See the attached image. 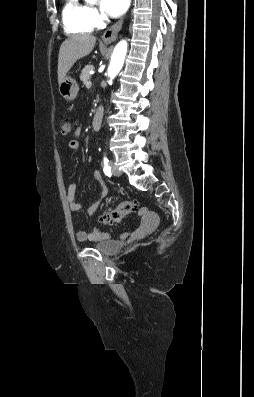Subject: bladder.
<instances>
[{"mask_svg":"<svg viewBox=\"0 0 254 397\" xmlns=\"http://www.w3.org/2000/svg\"><path fill=\"white\" fill-rule=\"evenodd\" d=\"M121 248V242L113 239L104 240L95 245V249H97L100 253L108 256L117 254L121 250Z\"/></svg>","mask_w":254,"mask_h":397,"instance_id":"obj_1","label":"bladder"}]
</instances>
